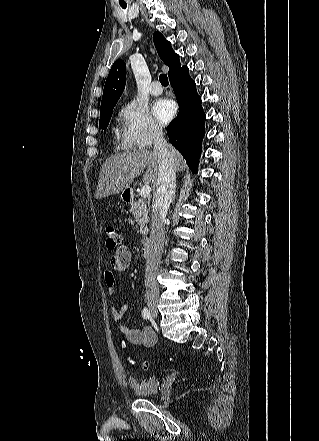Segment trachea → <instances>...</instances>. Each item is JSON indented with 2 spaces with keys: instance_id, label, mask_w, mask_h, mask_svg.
<instances>
[{
  "instance_id": "trachea-1",
  "label": "trachea",
  "mask_w": 319,
  "mask_h": 441,
  "mask_svg": "<svg viewBox=\"0 0 319 441\" xmlns=\"http://www.w3.org/2000/svg\"><path fill=\"white\" fill-rule=\"evenodd\" d=\"M122 8H126V6H122ZM159 81L163 86H168L169 82H168V77L166 74H161L159 77Z\"/></svg>"
}]
</instances>
